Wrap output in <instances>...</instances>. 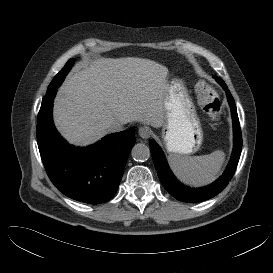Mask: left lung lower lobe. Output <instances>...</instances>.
I'll return each mask as SVG.
<instances>
[{"label":"left lung lower lobe","instance_id":"0a47b994","mask_svg":"<svg viewBox=\"0 0 273 273\" xmlns=\"http://www.w3.org/2000/svg\"><path fill=\"white\" fill-rule=\"evenodd\" d=\"M215 79L222 85V87L226 91L228 102L231 107L234 129L233 153L230 162L226 168V171L218 180H216L209 186L197 189H191L181 185L171 173L160 147L156 144L154 140L150 141V150L152 158L157 170V175L162 185L173 197L183 202L193 203L204 201L219 194L227 186L232 176L234 175L240 158L242 148V136L236 105L224 81L218 77H215Z\"/></svg>","mask_w":273,"mask_h":273}]
</instances>
